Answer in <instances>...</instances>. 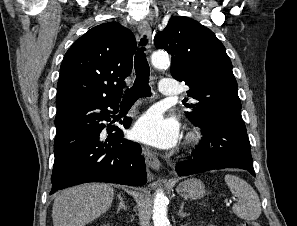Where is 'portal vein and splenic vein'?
<instances>
[{"label":"portal vein and splenic vein","mask_w":297,"mask_h":226,"mask_svg":"<svg viewBox=\"0 0 297 226\" xmlns=\"http://www.w3.org/2000/svg\"><path fill=\"white\" fill-rule=\"evenodd\" d=\"M233 200H236L235 198H233ZM225 202L228 204V201L227 200H225Z\"/></svg>","instance_id":"1"}]
</instances>
